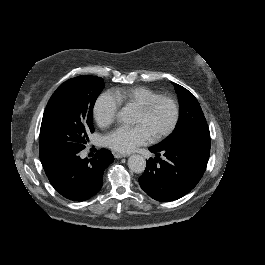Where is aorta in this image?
<instances>
[{
    "label": "aorta",
    "instance_id": "obj_1",
    "mask_svg": "<svg viewBox=\"0 0 265 265\" xmlns=\"http://www.w3.org/2000/svg\"><path fill=\"white\" fill-rule=\"evenodd\" d=\"M118 116L125 121L128 115L123 110L119 112ZM128 167L134 173H142L146 168V160L141 155H131L128 159Z\"/></svg>",
    "mask_w": 265,
    "mask_h": 265
}]
</instances>
